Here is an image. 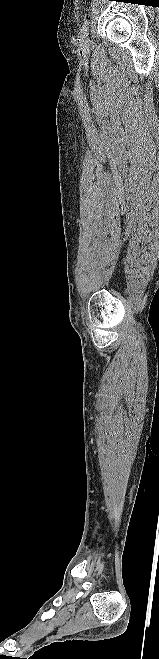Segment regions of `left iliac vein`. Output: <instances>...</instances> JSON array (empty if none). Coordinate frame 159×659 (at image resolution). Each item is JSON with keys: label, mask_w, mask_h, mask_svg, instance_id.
Listing matches in <instances>:
<instances>
[{"label": "left iliac vein", "mask_w": 159, "mask_h": 659, "mask_svg": "<svg viewBox=\"0 0 159 659\" xmlns=\"http://www.w3.org/2000/svg\"><path fill=\"white\" fill-rule=\"evenodd\" d=\"M83 41H84L85 43H87V42H88V37H87L86 39H83Z\"/></svg>", "instance_id": "1"}]
</instances>
